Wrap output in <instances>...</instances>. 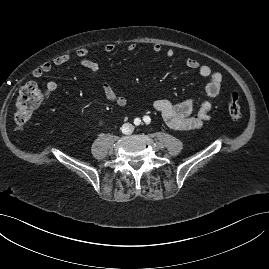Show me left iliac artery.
<instances>
[{
	"instance_id": "left-iliac-artery-1",
	"label": "left iliac artery",
	"mask_w": 269,
	"mask_h": 269,
	"mask_svg": "<svg viewBox=\"0 0 269 269\" xmlns=\"http://www.w3.org/2000/svg\"><path fill=\"white\" fill-rule=\"evenodd\" d=\"M143 120H144V122H145L146 124H149L150 121H151V119H150L149 116H144Z\"/></svg>"
}]
</instances>
